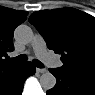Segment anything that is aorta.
<instances>
[{
	"label": "aorta",
	"mask_w": 95,
	"mask_h": 95,
	"mask_svg": "<svg viewBox=\"0 0 95 95\" xmlns=\"http://www.w3.org/2000/svg\"><path fill=\"white\" fill-rule=\"evenodd\" d=\"M15 38L21 43H29L33 38V31L27 25H20L15 29ZM40 84L44 90L52 89L56 84L55 76L50 72H45L40 76Z\"/></svg>",
	"instance_id": "obj_1"
}]
</instances>
